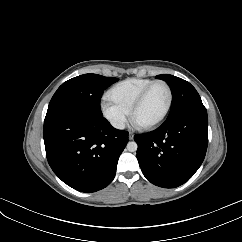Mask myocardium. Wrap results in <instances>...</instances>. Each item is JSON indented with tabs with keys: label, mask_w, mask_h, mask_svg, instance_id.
<instances>
[{
	"label": "myocardium",
	"mask_w": 242,
	"mask_h": 242,
	"mask_svg": "<svg viewBox=\"0 0 242 242\" xmlns=\"http://www.w3.org/2000/svg\"><path fill=\"white\" fill-rule=\"evenodd\" d=\"M158 84H162L166 87L167 91H168V102L166 105L165 110L163 111L162 115L155 120L154 122L148 123V124H138L135 121V115L137 110L140 108V106L143 104L144 100L146 99L147 95L149 94V92L152 90V88ZM173 104V91L171 86L164 80H155L153 81L151 84H149L141 93L140 95L137 97V99L135 100V102L133 103L130 113H131V118L132 121L140 128L142 129H152L157 127L158 125H160L162 122H164V120L167 118L171 107Z\"/></svg>",
	"instance_id": "myocardium-1"
}]
</instances>
